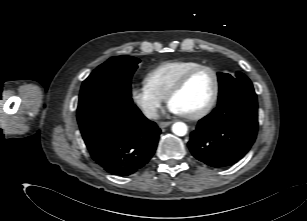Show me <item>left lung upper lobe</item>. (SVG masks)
<instances>
[{
  "label": "left lung upper lobe",
  "instance_id": "obj_1",
  "mask_svg": "<svg viewBox=\"0 0 307 221\" xmlns=\"http://www.w3.org/2000/svg\"><path fill=\"white\" fill-rule=\"evenodd\" d=\"M219 101L218 105L240 95L255 94L251 81L241 72L236 77L226 73H218Z\"/></svg>",
  "mask_w": 307,
  "mask_h": 221
}]
</instances>
